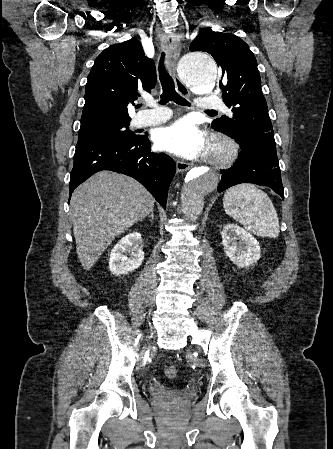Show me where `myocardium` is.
Returning a JSON list of instances; mask_svg holds the SVG:
<instances>
[{"label": "myocardium", "instance_id": "obj_1", "mask_svg": "<svg viewBox=\"0 0 333 449\" xmlns=\"http://www.w3.org/2000/svg\"><path fill=\"white\" fill-rule=\"evenodd\" d=\"M238 155V146L227 138H219L212 145L209 161L217 167L229 166Z\"/></svg>", "mask_w": 333, "mask_h": 449}]
</instances>
